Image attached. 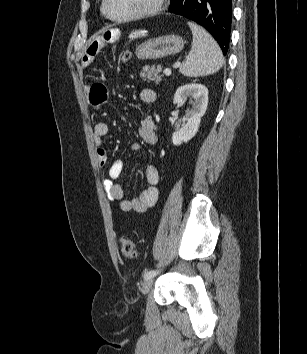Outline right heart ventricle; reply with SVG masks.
<instances>
[{
	"mask_svg": "<svg viewBox=\"0 0 307 354\" xmlns=\"http://www.w3.org/2000/svg\"><path fill=\"white\" fill-rule=\"evenodd\" d=\"M100 11H101L102 16H103V17H106V14H105L104 8H103V2H102V4H101Z\"/></svg>",
	"mask_w": 307,
	"mask_h": 354,
	"instance_id": "e07e8e85",
	"label": "right heart ventricle"
}]
</instances>
